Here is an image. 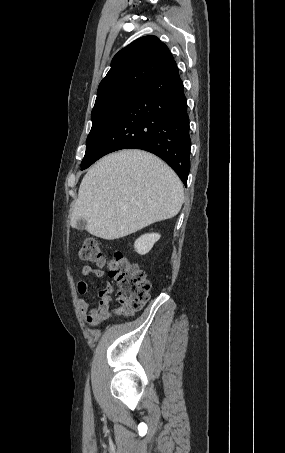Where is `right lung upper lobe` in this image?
<instances>
[{
    "label": "right lung upper lobe",
    "instance_id": "1",
    "mask_svg": "<svg viewBox=\"0 0 285 453\" xmlns=\"http://www.w3.org/2000/svg\"><path fill=\"white\" fill-rule=\"evenodd\" d=\"M176 65L168 47L156 36H144L120 50L101 81L95 105L137 91L154 76Z\"/></svg>",
    "mask_w": 285,
    "mask_h": 453
}]
</instances>
